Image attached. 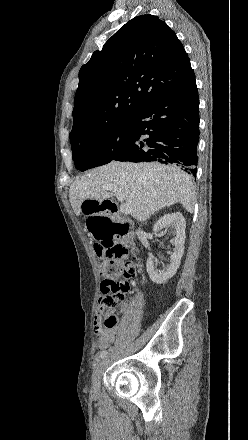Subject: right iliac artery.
I'll return each instance as SVG.
<instances>
[{"label":"right iliac artery","mask_w":248,"mask_h":440,"mask_svg":"<svg viewBox=\"0 0 248 440\" xmlns=\"http://www.w3.org/2000/svg\"><path fill=\"white\" fill-rule=\"evenodd\" d=\"M107 354H108L107 351H102V352H100L99 357L100 358H105L107 356Z\"/></svg>","instance_id":"82829eb1"}]
</instances>
